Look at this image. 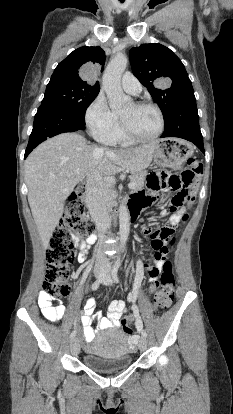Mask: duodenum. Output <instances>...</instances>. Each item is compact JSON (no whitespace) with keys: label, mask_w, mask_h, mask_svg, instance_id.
<instances>
[{"label":"duodenum","mask_w":233,"mask_h":414,"mask_svg":"<svg viewBox=\"0 0 233 414\" xmlns=\"http://www.w3.org/2000/svg\"><path fill=\"white\" fill-rule=\"evenodd\" d=\"M128 216L130 219H135L137 217V212L130 208Z\"/></svg>","instance_id":"410a0bca"}]
</instances>
